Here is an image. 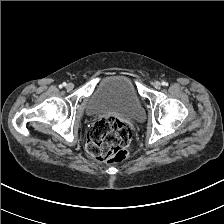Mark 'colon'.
<instances>
[{
	"label": "colon",
	"instance_id": "1",
	"mask_svg": "<svg viewBox=\"0 0 224 224\" xmlns=\"http://www.w3.org/2000/svg\"><path fill=\"white\" fill-rule=\"evenodd\" d=\"M131 130L116 117L99 118L92 126L86 145L87 152L103 163H117L131 151Z\"/></svg>",
	"mask_w": 224,
	"mask_h": 224
}]
</instances>
